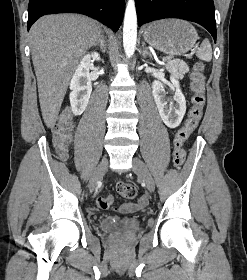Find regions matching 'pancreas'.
<instances>
[{
	"instance_id": "1",
	"label": "pancreas",
	"mask_w": 247,
	"mask_h": 280,
	"mask_svg": "<svg viewBox=\"0 0 247 280\" xmlns=\"http://www.w3.org/2000/svg\"><path fill=\"white\" fill-rule=\"evenodd\" d=\"M165 68L176 78L182 79L184 74L189 71L188 65L182 60H169Z\"/></svg>"
}]
</instances>
